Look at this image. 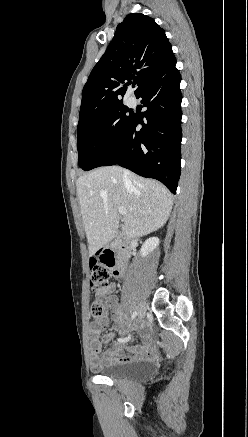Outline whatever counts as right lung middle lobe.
Returning <instances> with one entry per match:
<instances>
[{
	"mask_svg": "<svg viewBox=\"0 0 248 437\" xmlns=\"http://www.w3.org/2000/svg\"><path fill=\"white\" fill-rule=\"evenodd\" d=\"M132 117L133 113L121 102L82 122L77 127L80 168L85 171L93 169L94 164L116 143Z\"/></svg>",
	"mask_w": 248,
	"mask_h": 437,
	"instance_id": "dd1d6c3e",
	"label": "right lung middle lobe"
}]
</instances>
